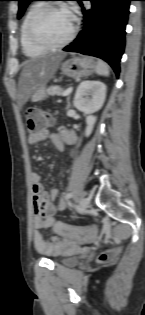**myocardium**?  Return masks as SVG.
<instances>
[{"label": "myocardium", "instance_id": "myocardium-1", "mask_svg": "<svg viewBox=\"0 0 145 315\" xmlns=\"http://www.w3.org/2000/svg\"><path fill=\"white\" fill-rule=\"evenodd\" d=\"M60 9H63V8H61L55 4H47V5L40 7L32 15V17L30 18V20L28 22L27 34H28L29 40L35 46L42 48V49H45V50H55V49H59V48L66 46L67 44H69L72 41V39L74 38L76 31H77V18L75 16H73V25H72L70 33L68 34V36L64 40H62L60 42H57V43L46 42V41L40 39L36 33V26H37L38 21L41 19V17L49 11L60 10Z\"/></svg>", "mask_w": 145, "mask_h": 315}]
</instances>
